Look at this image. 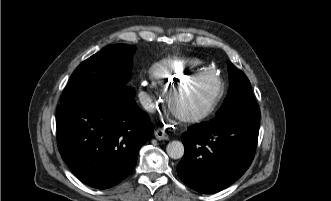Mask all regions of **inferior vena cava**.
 <instances>
[{
    "label": "inferior vena cava",
    "instance_id": "1",
    "mask_svg": "<svg viewBox=\"0 0 331 201\" xmlns=\"http://www.w3.org/2000/svg\"><path fill=\"white\" fill-rule=\"evenodd\" d=\"M140 102L147 111H149V112L154 111L155 104L149 95H147L145 93L140 95Z\"/></svg>",
    "mask_w": 331,
    "mask_h": 201
}]
</instances>
